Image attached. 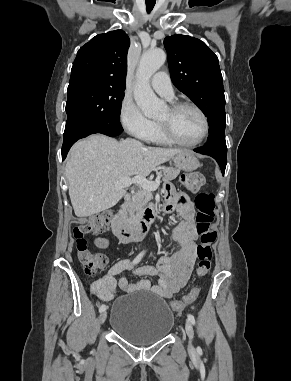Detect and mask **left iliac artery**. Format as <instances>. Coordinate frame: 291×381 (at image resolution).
<instances>
[{"mask_svg": "<svg viewBox=\"0 0 291 381\" xmlns=\"http://www.w3.org/2000/svg\"><path fill=\"white\" fill-rule=\"evenodd\" d=\"M188 321L194 325L195 324V317L192 314H188Z\"/></svg>", "mask_w": 291, "mask_h": 381, "instance_id": "left-iliac-artery-1", "label": "left iliac artery"}]
</instances>
